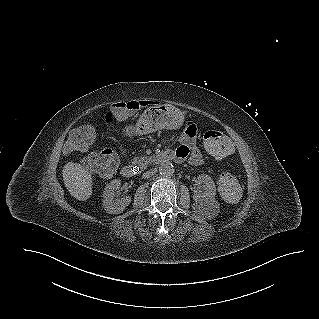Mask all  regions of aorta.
Segmentation results:
<instances>
[{
  "mask_svg": "<svg viewBox=\"0 0 319 319\" xmlns=\"http://www.w3.org/2000/svg\"><path fill=\"white\" fill-rule=\"evenodd\" d=\"M175 169L172 163L166 161L159 165V172L163 176H172Z\"/></svg>",
  "mask_w": 319,
  "mask_h": 319,
  "instance_id": "obj_1",
  "label": "aorta"
}]
</instances>
